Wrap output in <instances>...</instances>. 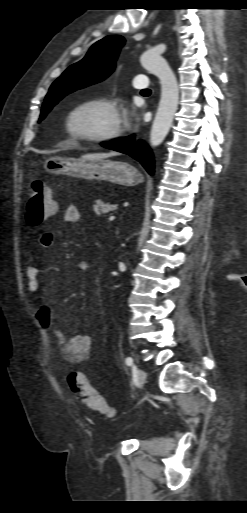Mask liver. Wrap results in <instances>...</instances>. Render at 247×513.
<instances>
[{
  "label": "liver",
  "mask_w": 247,
  "mask_h": 513,
  "mask_svg": "<svg viewBox=\"0 0 247 513\" xmlns=\"http://www.w3.org/2000/svg\"><path fill=\"white\" fill-rule=\"evenodd\" d=\"M117 152H110V153H91V154H85L82 156V159L86 160H93V159H102L110 156L117 155Z\"/></svg>",
  "instance_id": "6515ba94"
}]
</instances>
